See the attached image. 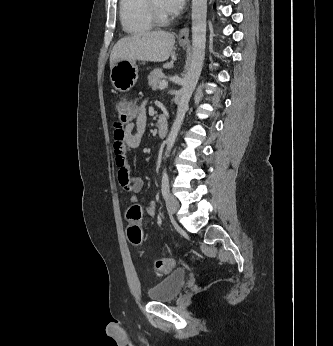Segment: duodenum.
<instances>
[{
    "label": "duodenum",
    "instance_id": "duodenum-1",
    "mask_svg": "<svg viewBox=\"0 0 333 346\" xmlns=\"http://www.w3.org/2000/svg\"><path fill=\"white\" fill-rule=\"evenodd\" d=\"M157 129L159 137L163 138L168 133V121L164 116L159 117L157 122Z\"/></svg>",
    "mask_w": 333,
    "mask_h": 346
}]
</instances>
